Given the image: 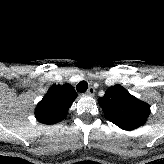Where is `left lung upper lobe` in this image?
<instances>
[{
	"instance_id": "1",
	"label": "left lung upper lobe",
	"mask_w": 164,
	"mask_h": 164,
	"mask_svg": "<svg viewBox=\"0 0 164 164\" xmlns=\"http://www.w3.org/2000/svg\"><path fill=\"white\" fill-rule=\"evenodd\" d=\"M106 118L124 130H134L147 121L150 106L131 95L124 87H109L98 99Z\"/></svg>"
}]
</instances>
